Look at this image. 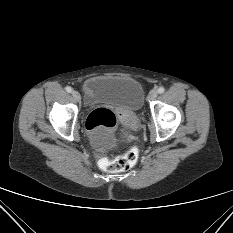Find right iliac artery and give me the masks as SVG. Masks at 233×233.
Here are the masks:
<instances>
[{
	"instance_id": "obj_1",
	"label": "right iliac artery",
	"mask_w": 233,
	"mask_h": 233,
	"mask_svg": "<svg viewBox=\"0 0 233 233\" xmlns=\"http://www.w3.org/2000/svg\"><path fill=\"white\" fill-rule=\"evenodd\" d=\"M65 89H66V91H67L68 93H71V92H72V88H71L70 86H67Z\"/></svg>"
}]
</instances>
